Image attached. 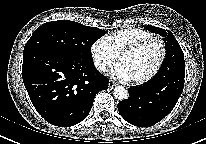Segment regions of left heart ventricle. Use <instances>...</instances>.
<instances>
[{"label": "left heart ventricle", "instance_id": "left-heart-ventricle-1", "mask_svg": "<svg viewBox=\"0 0 206 144\" xmlns=\"http://www.w3.org/2000/svg\"><path fill=\"white\" fill-rule=\"evenodd\" d=\"M159 56V47L150 44L138 52L125 55L120 63L124 64L133 76V80L147 75L155 66Z\"/></svg>", "mask_w": 206, "mask_h": 144}]
</instances>
